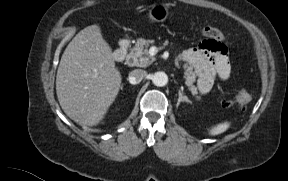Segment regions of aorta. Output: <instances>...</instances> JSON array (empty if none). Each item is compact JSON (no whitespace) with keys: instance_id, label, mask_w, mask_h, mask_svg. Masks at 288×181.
Masks as SVG:
<instances>
[{"instance_id":"aorta-1","label":"aorta","mask_w":288,"mask_h":181,"mask_svg":"<svg viewBox=\"0 0 288 181\" xmlns=\"http://www.w3.org/2000/svg\"><path fill=\"white\" fill-rule=\"evenodd\" d=\"M168 81V77L163 72H157L152 76V82L156 86H164Z\"/></svg>"}]
</instances>
